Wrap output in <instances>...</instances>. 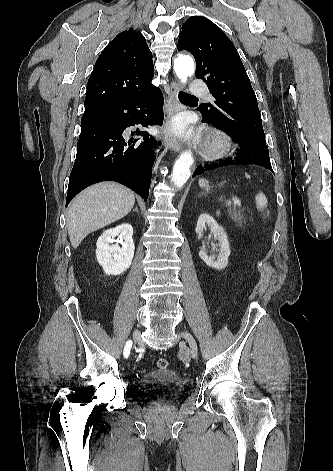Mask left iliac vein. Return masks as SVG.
<instances>
[{"label":"left iliac vein","instance_id":"left-iliac-vein-1","mask_svg":"<svg viewBox=\"0 0 333 471\" xmlns=\"http://www.w3.org/2000/svg\"><path fill=\"white\" fill-rule=\"evenodd\" d=\"M182 337L188 342L189 344V352L192 358L197 356V344L193 336L188 332H182Z\"/></svg>","mask_w":333,"mask_h":471}]
</instances>
